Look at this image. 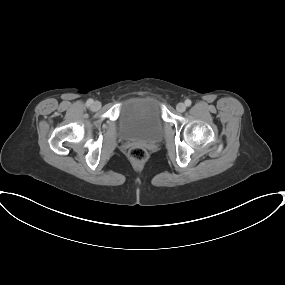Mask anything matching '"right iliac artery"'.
Here are the masks:
<instances>
[{
	"label": "right iliac artery",
	"instance_id": "right-iliac-artery-1",
	"mask_svg": "<svg viewBox=\"0 0 285 285\" xmlns=\"http://www.w3.org/2000/svg\"><path fill=\"white\" fill-rule=\"evenodd\" d=\"M91 104H93V100H92V99H89V100L86 102V105H87V106H90Z\"/></svg>",
	"mask_w": 285,
	"mask_h": 285
}]
</instances>
